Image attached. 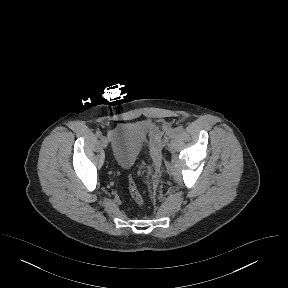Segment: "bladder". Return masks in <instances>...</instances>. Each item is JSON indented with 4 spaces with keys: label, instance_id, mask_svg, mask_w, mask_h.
<instances>
[{
    "label": "bladder",
    "instance_id": "bladder-1",
    "mask_svg": "<svg viewBox=\"0 0 288 288\" xmlns=\"http://www.w3.org/2000/svg\"><path fill=\"white\" fill-rule=\"evenodd\" d=\"M147 128L139 123L121 124L110 133L112 157L116 165L131 167L145 142Z\"/></svg>",
    "mask_w": 288,
    "mask_h": 288
}]
</instances>
